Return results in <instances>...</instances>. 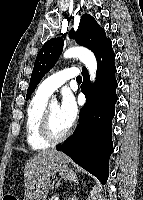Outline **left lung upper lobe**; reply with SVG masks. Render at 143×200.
<instances>
[{"instance_id": "5c2ea615", "label": "left lung upper lobe", "mask_w": 143, "mask_h": 200, "mask_svg": "<svg viewBox=\"0 0 143 200\" xmlns=\"http://www.w3.org/2000/svg\"><path fill=\"white\" fill-rule=\"evenodd\" d=\"M69 35L79 45L90 48L95 55L110 41L109 38L107 39L104 29L89 14L81 17L78 30L74 32L72 29ZM63 45L62 38L51 39L43 45L34 63L26 99L29 98L44 75L55 65L63 50Z\"/></svg>"}]
</instances>
